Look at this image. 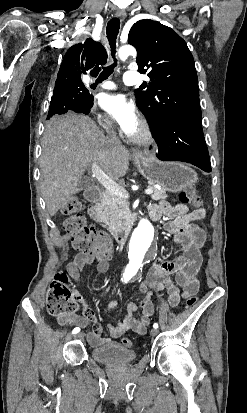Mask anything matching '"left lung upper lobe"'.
I'll use <instances>...</instances> for the list:
<instances>
[{
    "label": "left lung upper lobe",
    "instance_id": "1",
    "mask_svg": "<svg viewBox=\"0 0 247 413\" xmlns=\"http://www.w3.org/2000/svg\"><path fill=\"white\" fill-rule=\"evenodd\" d=\"M128 43L137 49L138 70L151 79L135 90L151 130L172 118L201 122L197 73L186 42L160 22L143 19L132 26Z\"/></svg>",
    "mask_w": 247,
    "mask_h": 413
}]
</instances>
